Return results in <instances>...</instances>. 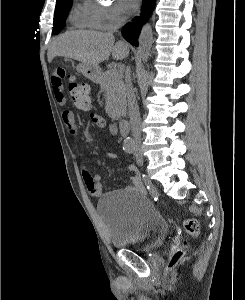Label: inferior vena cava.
<instances>
[{"mask_svg": "<svg viewBox=\"0 0 245 300\" xmlns=\"http://www.w3.org/2000/svg\"><path fill=\"white\" fill-rule=\"evenodd\" d=\"M125 91L128 100L129 117L134 143L136 149H139L141 144V119L136 96L131 82V71L129 67H127L125 70Z\"/></svg>", "mask_w": 245, "mask_h": 300, "instance_id": "602c4592", "label": "inferior vena cava"}]
</instances>
